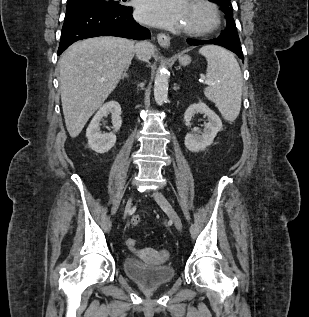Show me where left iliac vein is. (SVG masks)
I'll return each mask as SVG.
<instances>
[{
    "mask_svg": "<svg viewBox=\"0 0 309 317\" xmlns=\"http://www.w3.org/2000/svg\"><path fill=\"white\" fill-rule=\"evenodd\" d=\"M153 197L155 201L158 203V205L171 218L177 230L182 231L183 225H182L181 218L179 217L177 212L174 210L170 202L166 199V197L160 191H157V190L153 192Z\"/></svg>",
    "mask_w": 309,
    "mask_h": 317,
    "instance_id": "left-iliac-vein-1",
    "label": "left iliac vein"
}]
</instances>
